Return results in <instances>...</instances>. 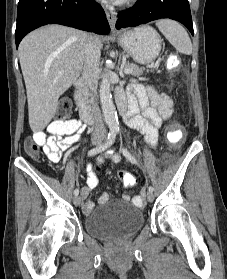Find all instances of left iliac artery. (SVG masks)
<instances>
[{"instance_id": "44dca946", "label": "left iliac artery", "mask_w": 227, "mask_h": 279, "mask_svg": "<svg viewBox=\"0 0 227 279\" xmlns=\"http://www.w3.org/2000/svg\"><path fill=\"white\" fill-rule=\"evenodd\" d=\"M122 152L124 154V156L133 164H137V160L134 158V156L131 155V153L126 149V148H122ZM153 187L149 186V191L153 192Z\"/></svg>"}]
</instances>
